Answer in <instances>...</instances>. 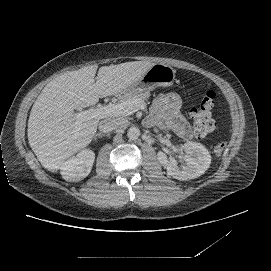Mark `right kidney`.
<instances>
[{
    "label": "right kidney",
    "instance_id": "1",
    "mask_svg": "<svg viewBox=\"0 0 271 271\" xmlns=\"http://www.w3.org/2000/svg\"><path fill=\"white\" fill-rule=\"evenodd\" d=\"M94 159L95 152L85 148L63 161L59 167V174L65 181H81L90 173Z\"/></svg>",
    "mask_w": 271,
    "mask_h": 271
}]
</instances>
